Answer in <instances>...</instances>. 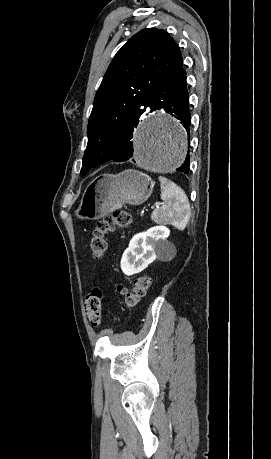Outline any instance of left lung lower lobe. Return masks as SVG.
Returning <instances> with one entry per match:
<instances>
[{
    "mask_svg": "<svg viewBox=\"0 0 271 459\" xmlns=\"http://www.w3.org/2000/svg\"><path fill=\"white\" fill-rule=\"evenodd\" d=\"M146 101L147 107L150 108V112L162 108L167 113H170L180 120L189 136L191 116L186 85V72L183 67L157 85L149 93ZM139 122L140 120L137 119L122 132L120 136V149L108 161L122 162L129 160L133 156V143L131 139L133 137L134 128L137 127ZM189 165L190 160L189 156H187L182 166L176 170L188 173Z\"/></svg>",
    "mask_w": 271,
    "mask_h": 459,
    "instance_id": "left-lung-lower-lobe-1",
    "label": "left lung lower lobe"
}]
</instances>
